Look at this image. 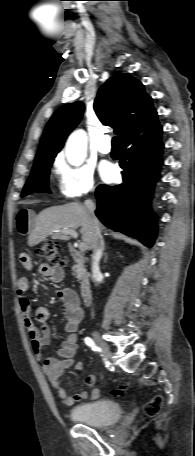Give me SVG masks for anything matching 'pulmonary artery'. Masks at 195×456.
<instances>
[{
  "instance_id": "obj_1",
  "label": "pulmonary artery",
  "mask_w": 195,
  "mask_h": 456,
  "mask_svg": "<svg viewBox=\"0 0 195 456\" xmlns=\"http://www.w3.org/2000/svg\"><path fill=\"white\" fill-rule=\"evenodd\" d=\"M98 150L101 154H110L111 152V143H110V136L105 135L101 138Z\"/></svg>"
}]
</instances>
